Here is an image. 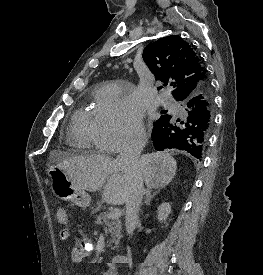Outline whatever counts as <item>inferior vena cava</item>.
<instances>
[{
  "mask_svg": "<svg viewBox=\"0 0 263 275\" xmlns=\"http://www.w3.org/2000/svg\"><path fill=\"white\" fill-rule=\"evenodd\" d=\"M145 143V139L129 142L121 148L117 157L122 173L129 181L125 217L126 231L129 235L133 234L136 225L139 223V210L144 194L139 158Z\"/></svg>",
  "mask_w": 263,
  "mask_h": 275,
  "instance_id": "obj_1",
  "label": "inferior vena cava"
}]
</instances>
